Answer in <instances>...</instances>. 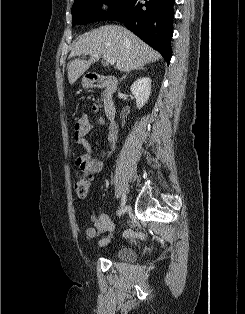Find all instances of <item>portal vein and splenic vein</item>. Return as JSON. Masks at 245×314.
Here are the masks:
<instances>
[{"mask_svg":"<svg viewBox=\"0 0 245 314\" xmlns=\"http://www.w3.org/2000/svg\"><path fill=\"white\" fill-rule=\"evenodd\" d=\"M103 58L106 60V62L110 65H114L115 62H116V58L115 57H111V56H108L106 54L103 55Z\"/></svg>","mask_w":245,"mask_h":314,"instance_id":"obj_1","label":"portal vein and splenic vein"}]
</instances>
